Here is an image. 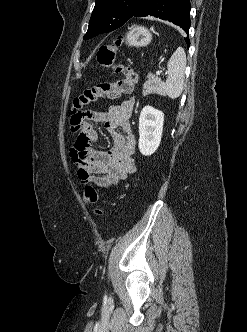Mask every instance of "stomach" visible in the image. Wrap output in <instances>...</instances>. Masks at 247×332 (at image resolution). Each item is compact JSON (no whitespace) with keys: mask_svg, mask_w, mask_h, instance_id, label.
Wrapping results in <instances>:
<instances>
[{"mask_svg":"<svg viewBox=\"0 0 247 332\" xmlns=\"http://www.w3.org/2000/svg\"><path fill=\"white\" fill-rule=\"evenodd\" d=\"M151 40V32L142 26H132L125 37V43L131 47L147 46Z\"/></svg>","mask_w":247,"mask_h":332,"instance_id":"obj_1","label":"stomach"}]
</instances>
